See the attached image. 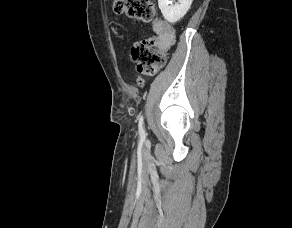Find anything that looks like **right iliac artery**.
Masks as SVG:
<instances>
[{
	"label": "right iliac artery",
	"mask_w": 292,
	"mask_h": 228,
	"mask_svg": "<svg viewBox=\"0 0 292 228\" xmlns=\"http://www.w3.org/2000/svg\"><path fill=\"white\" fill-rule=\"evenodd\" d=\"M138 127H139V133H140V135H144L145 131H144V128H143V117L142 116H140V118H139V125H138Z\"/></svg>",
	"instance_id": "1"
}]
</instances>
